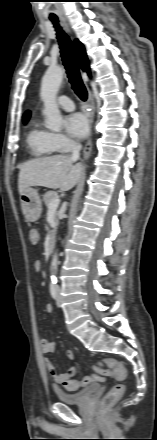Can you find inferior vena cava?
I'll return each mask as SVG.
<instances>
[{"instance_id":"inferior-vena-cava-1","label":"inferior vena cava","mask_w":157,"mask_h":440,"mask_svg":"<svg viewBox=\"0 0 157 440\" xmlns=\"http://www.w3.org/2000/svg\"><path fill=\"white\" fill-rule=\"evenodd\" d=\"M81 144L79 143H75L73 146V151H72V155H71V160L72 161H77L80 157V150H81Z\"/></svg>"}]
</instances>
